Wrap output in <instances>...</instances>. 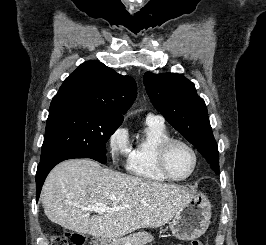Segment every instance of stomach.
<instances>
[{
    "instance_id": "0dacf381",
    "label": "stomach",
    "mask_w": 266,
    "mask_h": 245,
    "mask_svg": "<svg viewBox=\"0 0 266 245\" xmlns=\"http://www.w3.org/2000/svg\"><path fill=\"white\" fill-rule=\"evenodd\" d=\"M211 219V205L203 193L195 195L171 221L173 237L180 241H192L206 233Z\"/></svg>"
}]
</instances>
